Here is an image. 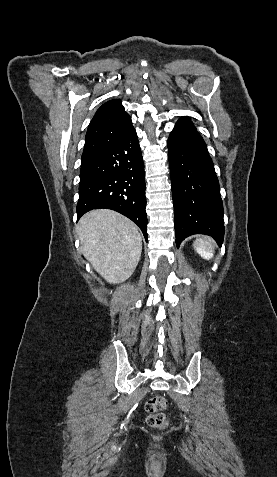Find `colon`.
I'll return each mask as SVG.
<instances>
[{"label": "colon", "mask_w": 277, "mask_h": 477, "mask_svg": "<svg viewBox=\"0 0 277 477\" xmlns=\"http://www.w3.org/2000/svg\"><path fill=\"white\" fill-rule=\"evenodd\" d=\"M166 407L167 400L163 396L152 397L146 402V421L150 427L163 429L168 425V419L164 413Z\"/></svg>", "instance_id": "5ec220e1"}]
</instances>
